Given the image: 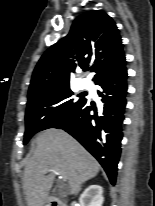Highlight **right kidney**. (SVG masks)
Returning a JSON list of instances; mask_svg holds the SVG:
<instances>
[{
    "label": "right kidney",
    "instance_id": "1",
    "mask_svg": "<svg viewBox=\"0 0 155 206\" xmlns=\"http://www.w3.org/2000/svg\"><path fill=\"white\" fill-rule=\"evenodd\" d=\"M103 201V188L100 185H90L79 197L80 206H102Z\"/></svg>",
    "mask_w": 155,
    "mask_h": 206
}]
</instances>
